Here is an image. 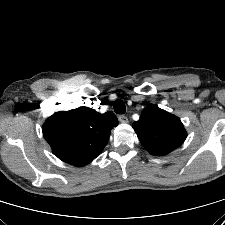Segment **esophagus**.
Wrapping results in <instances>:
<instances>
[{"label":"esophagus","instance_id":"34e87169","mask_svg":"<svg viewBox=\"0 0 225 225\" xmlns=\"http://www.w3.org/2000/svg\"><path fill=\"white\" fill-rule=\"evenodd\" d=\"M118 119L121 123H128V118L125 115H119Z\"/></svg>","mask_w":225,"mask_h":225}]
</instances>
